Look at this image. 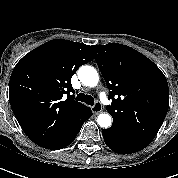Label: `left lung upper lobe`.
Segmentation results:
<instances>
[{
	"label": "left lung upper lobe",
	"mask_w": 178,
	"mask_h": 178,
	"mask_svg": "<svg viewBox=\"0 0 178 178\" xmlns=\"http://www.w3.org/2000/svg\"><path fill=\"white\" fill-rule=\"evenodd\" d=\"M95 60L109 89L112 128L150 143L168 111L166 77L146 56L118 44L93 45Z\"/></svg>",
	"instance_id": "5c2ea615"
}]
</instances>
